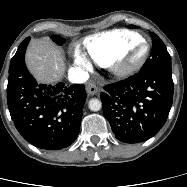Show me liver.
I'll use <instances>...</instances> for the list:
<instances>
[{
	"label": "liver",
	"instance_id": "obj_1",
	"mask_svg": "<svg viewBox=\"0 0 187 187\" xmlns=\"http://www.w3.org/2000/svg\"><path fill=\"white\" fill-rule=\"evenodd\" d=\"M26 63L38 82L51 83L65 71L62 50L52 42L33 39L26 53Z\"/></svg>",
	"mask_w": 187,
	"mask_h": 187
}]
</instances>
